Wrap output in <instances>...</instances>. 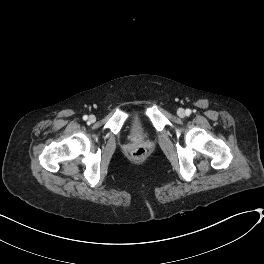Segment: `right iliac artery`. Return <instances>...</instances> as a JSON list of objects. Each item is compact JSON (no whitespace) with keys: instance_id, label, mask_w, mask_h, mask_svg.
I'll return each mask as SVG.
<instances>
[{"instance_id":"right-iliac-artery-1","label":"right iliac artery","mask_w":264,"mask_h":264,"mask_svg":"<svg viewBox=\"0 0 264 264\" xmlns=\"http://www.w3.org/2000/svg\"><path fill=\"white\" fill-rule=\"evenodd\" d=\"M88 119V116L87 115H84L83 116V120H87Z\"/></svg>"}]
</instances>
